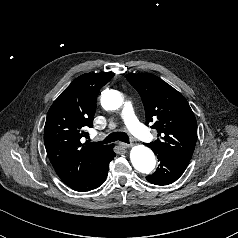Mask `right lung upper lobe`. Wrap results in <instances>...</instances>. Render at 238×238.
<instances>
[{
	"instance_id": "1",
	"label": "right lung upper lobe",
	"mask_w": 238,
	"mask_h": 238,
	"mask_svg": "<svg viewBox=\"0 0 238 238\" xmlns=\"http://www.w3.org/2000/svg\"><path fill=\"white\" fill-rule=\"evenodd\" d=\"M113 73H86L77 77L50 107L44 127V143L56 173L66 184L84 176L112 149L97 143H81L92 126L98 91Z\"/></svg>"
}]
</instances>
